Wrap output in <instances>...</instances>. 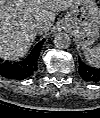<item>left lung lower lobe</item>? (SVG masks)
<instances>
[{
  "label": "left lung lower lobe",
  "mask_w": 100,
  "mask_h": 118,
  "mask_svg": "<svg viewBox=\"0 0 100 118\" xmlns=\"http://www.w3.org/2000/svg\"><path fill=\"white\" fill-rule=\"evenodd\" d=\"M79 74L87 82H100V68L88 66L81 60H79Z\"/></svg>",
  "instance_id": "left-lung-lower-lobe-1"
}]
</instances>
